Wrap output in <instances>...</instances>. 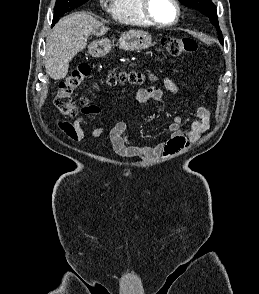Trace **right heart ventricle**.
I'll list each match as a JSON object with an SVG mask.
<instances>
[{
  "mask_svg": "<svg viewBox=\"0 0 259 294\" xmlns=\"http://www.w3.org/2000/svg\"><path fill=\"white\" fill-rule=\"evenodd\" d=\"M141 0H112L111 14L122 24L149 27L150 22L144 17Z\"/></svg>",
  "mask_w": 259,
  "mask_h": 294,
  "instance_id": "obj_1",
  "label": "right heart ventricle"
}]
</instances>
